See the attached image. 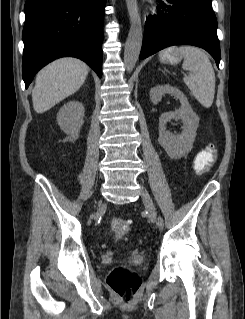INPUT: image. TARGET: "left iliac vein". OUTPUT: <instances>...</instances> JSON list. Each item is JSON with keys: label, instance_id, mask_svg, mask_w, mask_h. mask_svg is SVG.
<instances>
[{"label": "left iliac vein", "instance_id": "obj_1", "mask_svg": "<svg viewBox=\"0 0 245 319\" xmlns=\"http://www.w3.org/2000/svg\"><path fill=\"white\" fill-rule=\"evenodd\" d=\"M140 195L145 205L146 210L148 211V217L150 222L156 223L158 222L157 211L154 206L153 200L148 193V191L142 186L140 190Z\"/></svg>", "mask_w": 245, "mask_h": 319}]
</instances>
